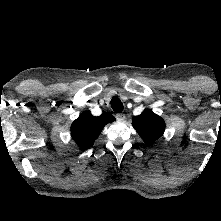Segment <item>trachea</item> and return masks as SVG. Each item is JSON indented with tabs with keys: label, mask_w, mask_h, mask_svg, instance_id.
<instances>
[{
	"label": "trachea",
	"mask_w": 221,
	"mask_h": 221,
	"mask_svg": "<svg viewBox=\"0 0 221 221\" xmlns=\"http://www.w3.org/2000/svg\"><path fill=\"white\" fill-rule=\"evenodd\" d=\"M111 107L115 112H122L123 111V104H122L121 100L116 96H114L111 99Z\"/></svg>",
	"instance_id": "trachea-1"
}]
</instances>
